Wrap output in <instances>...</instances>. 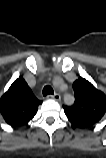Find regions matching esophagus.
Instances as JSON below:
<instances>
[{
    "instance_id": "1",
    "label": "esophagus",
    "mask_w": 106,
    "mask_h": 158,
    "mask_svg": "<svg viewBox=\"0 0 106 158\" xmlns=\"http://www.w3.org/2000/svg\"><path fill=\"white\" fill-rule=\"evenodd\" d=\"M47 98H48V99H54V100H56V101H59V100L61 99V96H60L59 93L56 92V93H54L53 95H48Z\"/></svg>"
}]
</instances>
